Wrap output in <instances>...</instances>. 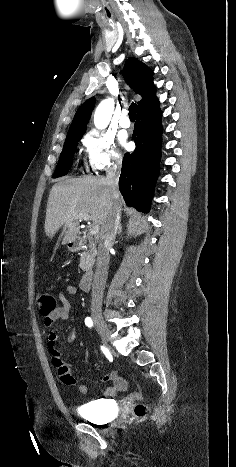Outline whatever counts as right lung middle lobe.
<instances>
[{"label": "right lung middle lobe", "instance_id": "dd1d6c3e", "mask_svg": "<svg viewBox=\"0 0 236 467\" xmlns=\"http://www.w3.org/2000/svg\"><path fill=\"white\" fill-rule=\"evenodd\" d=\"M83 134L75 133L67 135L53 178L64 176L68 173L72 165L73 154Z\"/></svg>", "mask_w": 236, "mask_h": 467}]
</instances>
